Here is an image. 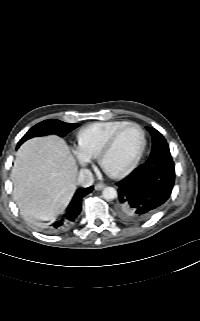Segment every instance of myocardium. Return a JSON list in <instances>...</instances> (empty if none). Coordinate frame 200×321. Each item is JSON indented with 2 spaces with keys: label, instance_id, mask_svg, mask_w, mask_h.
Segmentation results:
<instances>
[{
  "label": "myocardium",
  "instance_id": "obj_1",
  "mask_svg": "<svg viewBox=\"0 0 200 321\" xmlns=\"http://www.w3.org/2000/svg\"><path fill=\"white\" fill-rule=\"evenodd\" d=\"M129 127H136L141 132L142 141H141L140 148H139L137 154L135 155V157L133 158V160L131 161V163L124 170L117 172V173L109 172L104 167V158L112 150V148L116 144V142H117L119 136L122 134V132L125 131ZM146 144H147L146 133H145V130L143 129V127L141 125H139L138 123L129 122V123L123 125L122 127H120L119 129H117L110 136V138L106 141V143L103 145V147L101 148V150L99 151V153L97 155V160H98L99 166L111 178H114V179L124 178L127 175H129L135 169L137 164L139 163V161L145 151Z\"/></svg>",
  "mask_w": 200,
  "mask_h": 321
}]
</instances>
